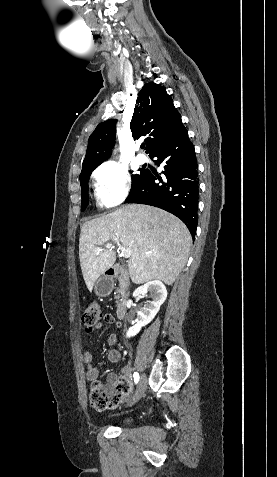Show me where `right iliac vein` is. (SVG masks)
I'll return each instance as SVG.
<instances>
[{"label": "right iliac vein", "instance_id": "63e3f726", "mask_svg": "<svg viewBox=\"0 0 277 477\" xmlns=\"http://www.w3.org/2000/svg\"><path fill=\"white\" fill-rule=\"evenodd\" d=\"M146 382H147L146 376L144 374L141 375L136 391L129 402L130 406L138 402L141 399V397L144 395V392L146 390Z\"/></svg>", "mask_w": 277, "mask_h": 477}]
</instances>
